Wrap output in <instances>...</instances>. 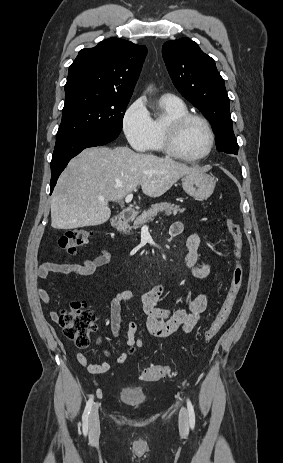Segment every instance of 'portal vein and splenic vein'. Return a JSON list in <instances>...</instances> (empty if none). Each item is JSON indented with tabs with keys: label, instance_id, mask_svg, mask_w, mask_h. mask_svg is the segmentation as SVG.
<instances>
[{
	"label": "portal vein and splenic vein",
	"instance_id": "18ae733b",
	"mask_svg": "<svg viewBox=\"0 0 283 463\" xmlns=\"http://www.w3.org/2000/svg\"><path fill=\"white\" fill-rule=\"evenodd\" d=\"M132 198H133V194L132 193H129L127 194V196L125 197V202L126 203H129L132 201ZM101 201H104V198H100Z\"/></svg>",
	"mask_w": 283,
	"mask_h": 463
}]
</instances>
